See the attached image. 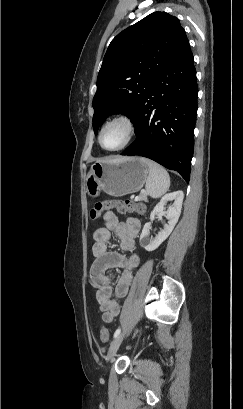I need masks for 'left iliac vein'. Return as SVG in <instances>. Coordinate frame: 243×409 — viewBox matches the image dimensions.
I'll list each match as a JSON object with an SVG mask.
<instances>
[{"mask_svg":"<svg viewBox=\"0 0 243 409\" xmlns=\"http://www.w3.org/2000/svg\"><path fill=\"white\" fill-rule=\"evenodd\" d=\"M125 337V332L119 334L111 343L109 349H108V353H107V361H110L114 355L116 354L118 348L120 347L123 339Z\"/></svg>","mask_w":243,"mask_h":409,"instance_id":"1","label":"left iliac vein"}]
</instances>
